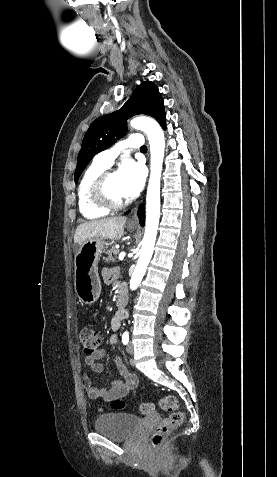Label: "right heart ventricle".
<instances>
[{
    "mask_svg": "<svg viewBox=\"0 0 277 477\" xmlns=\"http://www.w3.org/2000/svg\"><path fill=\"white\" fill-rule=\"evenodd\" d=\"M107 167L94 161L84 172L78 186V206L80 213L86 219H98L104 217L109 211L101 209L93 204L89 196V189L94 179L106 170Z\"/></svg>",
    "mask_w": 277,
    "mask_h": 477,
    "instance_id": "obj_1",
    "label": "right heart ventricle"
}]
</instances>
